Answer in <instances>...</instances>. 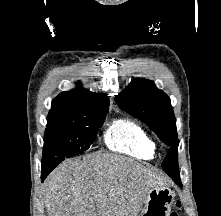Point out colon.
Segmentation results:
<instances>
[{
    "label": "colon",
    "mask_w": 221,
    "mask_h": 216,
    "mask_svg": "<svg viewBox=\"0 0 221 216\" xmlns=\"http://www.w3.org/2000/svg\"><path fill=\"white\" fill-rule=\"evenodd\" d=\"M176 206H177V207H180V206H181V203L178 201V202L176 203ZM170 216H178V215H177L176 212H173V213H171Z\"/></svg>",
    "instance_id": "colon-1"
}]
</instances>
